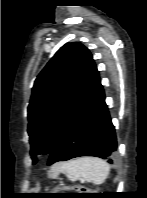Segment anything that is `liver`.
<instances>
[{"mask_svg": "<svg viewBox=\"0 0 147 198\" xmlns=\"http://www.w3.org/2000/svg\"><path fill=\"white\" fill-rule=\"evenodd\" d=\"M61 166H62V164H57L56 166H55V168H54V170H53V175L55 176V175H57V173L59 172V171H61Z\"/></svg>", "mask_w": 147, "mask_h": 198, "instance_id": "liver-1", "label": "liver"}]
</instances>
